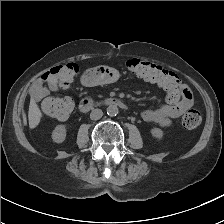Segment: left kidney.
<instances>
[{
    "mask_svg": "<svg viewBox=\"0 0 224 224\" xmlns=\"http://www.w3.org/2000/svg\"><path fill=\"white\" fill-rule=\"evenodd\" d=\"M151 134L154 137L161 139L163 136V131L159 128H153V129H151Z\"/></svg>",
    "mask_w": 224,
    "mask_h": 224,
    "instance_id": "5707ae66",
    "label": "left kidney"
}]
</instances>
